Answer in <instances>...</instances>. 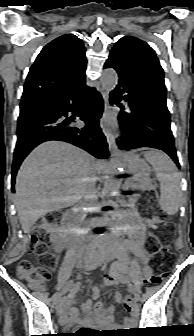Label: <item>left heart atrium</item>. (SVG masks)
I'll list each match as a JSON object with an SVG mask.
<instances>
[{
  "mask_svg": "<svg viewBox=\"0 0 194 336\" xmlns=\"http://www.w3.org/2000/svg\"><path fill=\"white\" fill-rule=\"evenodd\" d=\"M106 124L111 125V121L110 120L106 121Z\"/></svg>",
  "mask_w": 194,
  "mask_h": 336,
  "instance_id": "1",
  "label": "left heart atrium"
}]
</instances>
